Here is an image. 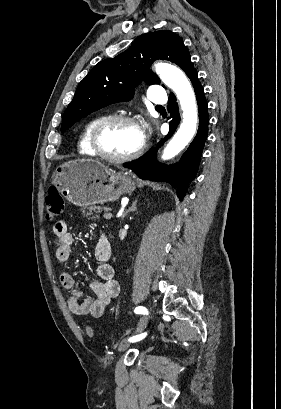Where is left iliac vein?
<instances>
[{"label": "left iliac vein", "instance_id": "4c4485c4", "mask_svg": "<svg viewBox=\"0 0 281 409\" xmlns=\"http://www.w3.org/2000/svg\"><path fill=\"white\" fill-rule=\"evenodd\" d=\"M147 323H148V317H147V316H143V317L141 318L139 324H138V327H137L135 333H140V332H142V331L145 329ZM130 338H131V337H130ZM130 338L125 339L124 341H122V342L120 343L119 348H118V350H119L120 352H124L125 350H127V349L129 348V346L131 345V341L129 340Z\"/></svg>", "mask_w": 281, "mask_h": 409}]
</instances>
